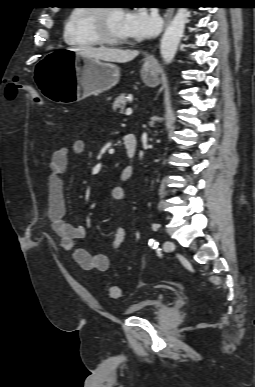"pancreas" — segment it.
Listing matches in <instances>:
<instances>
[{
  "label": "pancreas",
  "mask_w": 255,
  "mask_h": 387,
  "mask_svg": "<svg viewBox=\"0 0 255 387\" xmlns=\"http://www.w3.org/2000/svg\"><path fill=\"white\" fill-rule=\"evenodd\" d=\"M126 104L127 100L125 98V95L120 94L118 97L115 98L112 104V108L114 111H119L120 113H122L125 109Z\"/></svg>",
  "instance_id": "cf45deb5"
}]
</instances>
